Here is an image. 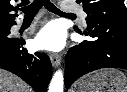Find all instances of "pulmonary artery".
I'll list each match as a JSON object with an SVG mask.
<instances>
[{
  "mask_svg": "<svg viewBox=\"0 0 127 92\" xmlns=\"http://www.w3.org/2000/svg\"><path fill=\"white\" fill-rule=\"evenodd\" d=\"M61 8H62V11L67 12V13H69V12L78 13L84 21H85V19L87 17L86 13L81 11L78 6H75V5L71 4V3L62 2L61 3Z\"/></svg>",
  "mask_w": 127,
  "mask_h": 92,
  "instance_id": "e3ab8cb5",
  "label": "pulmonary artery"
}]
</instances>
